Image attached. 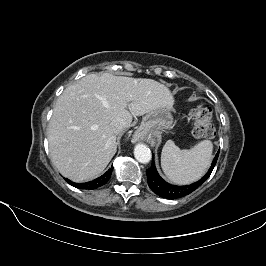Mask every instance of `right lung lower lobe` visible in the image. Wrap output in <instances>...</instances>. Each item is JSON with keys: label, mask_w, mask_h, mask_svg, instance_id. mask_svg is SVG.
Wrapping results in <instances>:
<instances>
[{"label": "right lung lower lobe", "mask_w": 266, "mask_h": 266, "mask_svg": "<svg viewBox=\"0 0 266 266\" xmlns=\"http://www.w3.org/2000/svg\"><path fill=\"white\" fill-rule=\"evenodd\" d=\"M112 169H113V166L106 173H104L102 176H100L97 179H94L90 182H86V183H75V182L70 181L69 179H65V180L70 185H72L76 188L92 190V189L98 188V187H100V186H102L108 182V180L111 176V173H112Z\"/></svg>", "instance_id": "98d812e1"}]
</instances>
